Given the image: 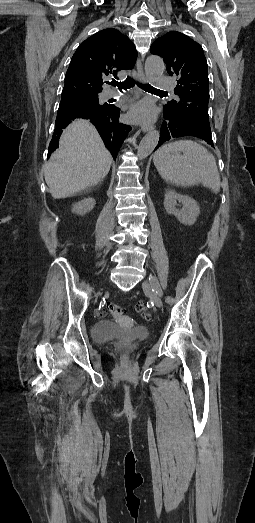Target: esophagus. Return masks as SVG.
I'll return each mask as SVG.
<instances>
[{
    "mask_svg": "<svg viewBox=\"0 0 255 523\" xmlns=\"http://www.w3.org/2000/svg\"><path fill=\"white\" fill-rule=\"evenodd\" d=\"M136 67H137V72L135 74L136 80L140 83H147V80L144 75L142 63L140 62L139 59L137 60ZM141 128H142L143 132H150V130H152V128H153V125L145 124Z\"/></svg>",
    "mask_w": 255,
    "mask_h": 523,
    "instance_id": "34e87169",
    "label": "esophagus"
}]
</instances>
